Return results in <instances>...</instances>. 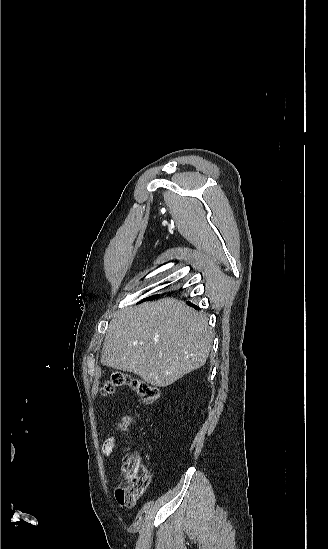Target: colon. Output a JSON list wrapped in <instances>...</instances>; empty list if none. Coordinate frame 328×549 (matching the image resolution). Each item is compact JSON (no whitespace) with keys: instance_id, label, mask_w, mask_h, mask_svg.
<instances>
[{"instance_id":"obj_1","label":"colon","mask_w":328,"mask_h":549,"mask_svg":"<svg viewBox=\"0 0 328 549\" xmlns=\"http://www.w3.org/2000/svg\"><path fill=\"white\" fill-rule=\"evenodd\" d=\"M122 386L130 387L145 404H152L159 397V391L153 385L119 372L112 374L102 391L104 395H110ZM130 423V417L124 418L121 430L125 431ZM123 472L126 483L117 489V498L123 503H134L144 495L150 484L149 472L139 462H132L130 459L124 462Z\"/></svg>"}]
</instances>
